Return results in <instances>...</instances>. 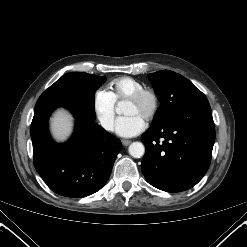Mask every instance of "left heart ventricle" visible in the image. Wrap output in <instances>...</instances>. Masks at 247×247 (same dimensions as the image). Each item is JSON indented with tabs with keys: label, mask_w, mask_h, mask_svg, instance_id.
Returning <instances> with one entry per match:
<instances>
[{
	"label": "left heart ventricle",
	"mask_w": 247,
	"mask_h": 247,
	"mask_svg": "<svg viewBox=\"0 0 247 247\" xmlns=\"http://www.w3.org/2000/svg\"><path fill=\"white\" fill-rule=\"evenodd\" d=\"M150 105V100L147 98L137 103L126 102L124 105V113L126 115L135 113L145 118L150 109Z\"/></svg>",
	"instance_id": "obj_1"
}]
</instances>
